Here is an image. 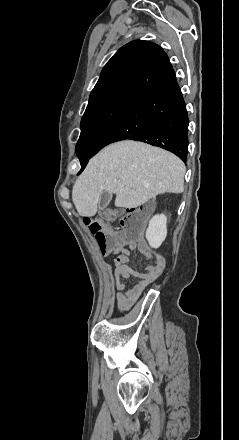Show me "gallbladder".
Segmentation results:
<instances>
[{
  "label": "gallbladder",
  "instance_id": "bac80fb5",
  "mask_svg": "<svg viewBox=\"0 0 239 440\" xmlns=\"http://www.w3.org/2000/svg\"><path fill=\"white\" fill-rule=\"evenodd\" d=\"M110 200H112V192H108V190H103V192H101L99 196V210H105Z\"/></svg>",
  "mask_w": 239,
  "mask_h": 440
}]
</instances>
